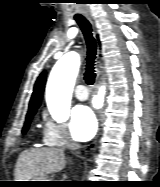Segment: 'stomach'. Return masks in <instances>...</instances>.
<instances>
[{"label": "stomach", "instance_id": "stomach-1", "mask_svg": "<svg viewBox=\"0 0 160 187\" xmlns=\"http://www.w3.org/2000/svg\"><path fill=\"white\" fill-rule=\"evenodd\" d=\"M30 181H51V180H48L46 177H42V178L32 179ZM25 186H29V187H45V186H50V184H49V182H30L28 184H25Z\"/></svg>", "mask_w": 160, "mask_h": 187}]
</instances>
